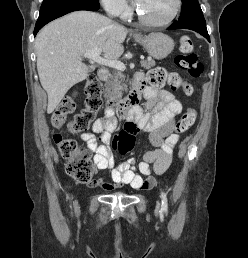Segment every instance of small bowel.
Returning <instances> with one entry per match:
<instances>
[{"mask_svg":"<svg viewBox=\"0 0 248 258\" xmlns=\"http://www.w3.org/2000/svg\"><path fill=\"white\" fill-rule=\"evenodd\" d=\"M142 81L145 98L144 111L140 107L126 120L125 130L133 138L139 131L148 135L149 144L153 150L146 151L142 161L136 165L133 158L113 166L114 156L109 142L111 134L117 127V120L112 110H106L105 116L98 118L92 125V132L82 134L88 150L94 153V164L97 170H109L113 184L96 180L93 187L105 191L130 185L135 190H155L157 179L143 177L149 175L151 169L155 174H163L169 167L174 146L179 140V135L174 132L176 117L182 111V104L168 90L162 87L145 85V78L138 74ZM98 135V137H97Z\"/></svg>","mask_w":248,"mask_h":258,"instance_id":"small-bowel-1","label":"small bowel"}]
</instances>
